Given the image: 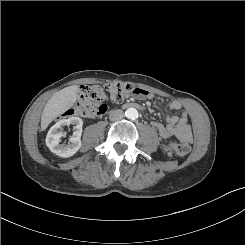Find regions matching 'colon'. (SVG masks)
<instances>
[{
    "label": "colon",
    "mask_w": 245,
    "mask_h": 245,
    "mask_svg": "<svg viewBox=\"0 0 245 245\" xmlns=\"http://www.w3.org/2000/svg\"><path fill=\"white\" fill-rule=\"evenodd\" d=\"M143 93L142 89L134 88L125 83H109L105 87L99 85H83L80 88L76 103L64 114V117L82 116L86 118L99 117L106 113L107 97L114 103H120L132 95ZM169 154L186 156L190 152V144L187 141H171L165 146Z\"/></svg>",
    "instance_id": "obj_1"
}]
</instances>
